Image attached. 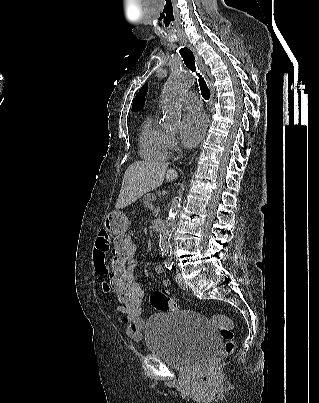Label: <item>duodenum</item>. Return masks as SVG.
I'll list each match as a JSON object with an SVG mask.
<instances>
[{
  "instance_id": "410a0bca",
  "label": "duodenum",
  "mask_w": 319,
  "mask_h": 403,
  "mask_svg": "<svg viewBox=\"0 0 319 403\" xmlns=\"http://www.w3.org/2000/svg\"><path fill=\"white\" fill-rule=\"evenodd\" d=\"M152 229H153V231H155V232H160V231H162V229H163V223H162V221L159 220V219L154 220V222H153V224H152Z\"/></svg>"
}]
</instances>
